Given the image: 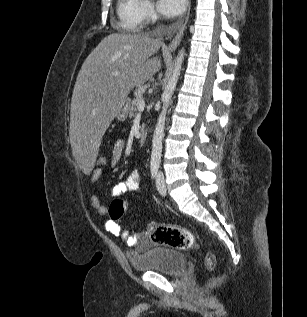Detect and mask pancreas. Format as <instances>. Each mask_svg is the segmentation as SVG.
I'll return each mask as SVG.
<instances>
[{
    "label": "pancreas",
    "mask_w": 307,
    "mask_h": 317,
    "mask_svg": "<svg viewBox=\"0 0 307 317\" xmlns=\"http://www.w3.org/2000/svg\"><path fill=\"white\" fill-rule=\"evenodd\" d=\"M142 100V90L137 89L135 91V98L132 100V103L128 107V115L129 117H133L135 115V112L137 111V103L138 101ZM144 128V125H142V129ZM144 134H141V140H143Z\"/></svg>",
    "instance_id": "obj_1"
}]
</instances>
